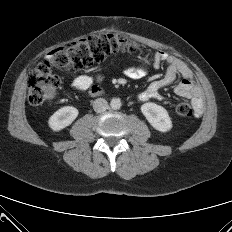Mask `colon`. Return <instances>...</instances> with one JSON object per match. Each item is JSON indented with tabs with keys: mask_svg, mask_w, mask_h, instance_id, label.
<instances>
[{
	"mask_svg": "<svg viewBox=\"0 0 232 232\" xmlns=\"http://www.w3.org/2000/svg\"><path fill=\"white\" fill-rule=\"evenodd\" d=\"M137 48V44L126 36L108 33L86 37L54 50L48 59L39 63L27 77L30 104L41 105L60 87L61 81L52 73L53 68L81 70L103 62L111 54L135 52ZM175 112L179 116L187 117L192 114V109L188 103L181 102L176 105Z\"/></svg>",
	"mask_w": 232,
	"mask_h": 232,
	"instance_id": "1",
	"label": "colon"
}]
</instances>
